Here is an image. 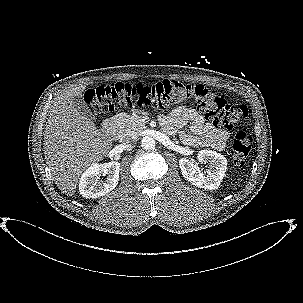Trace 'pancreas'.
I'll return each mask as SVG.
<instances>
[{"instance_id": "obj_1", "label": "pancreas", "mask_w": 303, "mask_h": 303, "mask_svg": "<svg viewBox=\"0 0 303 303\" xmlns=\"http://www.w3.org/2000/svg\"><path fill=\"white\" fill-rule=\"evenodd\" d=\"M115 127L117 135L122 137L142 131L145 129V123L142 121L141 116L121 113L115 119Z\"/></svg>"}]
</instances>
